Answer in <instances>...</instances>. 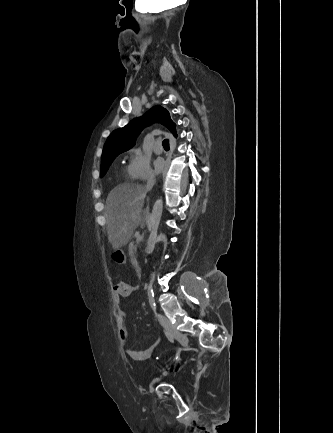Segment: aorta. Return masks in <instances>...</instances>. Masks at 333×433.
<instances>
[{"label":"aorta","mask_w":333,"mask_h":433,"mask_svg":"<svg viewBox=\"0 0 333 433\" xmlns=\"http://www.w3.org/2000/svg\"><path fill=\"white\" fill-rule=\"evenodd\" d=\"M162 211H163V200L158 199L153 205L152 213L148 221V230L150 233L147 240V246H146V252L148 254L153 253L155 244L157 242V234H158V228L162 216Z\"/></svg>","instance_id":"762f6f07"}]
</instances>
